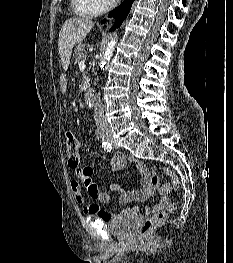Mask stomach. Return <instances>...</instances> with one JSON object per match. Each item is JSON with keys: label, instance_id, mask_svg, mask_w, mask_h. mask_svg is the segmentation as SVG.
Returning a JSON list of instances; mask_svg holds the SVG:
<instances>
[{"label": "stomach", "instance_id": "0dacf381", "mask_svg": "<svg viewBox=\"0 0 233 263\" xmlns=\"http://www.w3.org/2000/svg\"><path fill=\"white\" fill-rule=\"evenodd\" d=\"M56 82H60V91H68L69 88H71V83H69L68 80H66L65 77H56L55 78Z\"/></svg>", "mask_w": 233, "mask_h": 263}]
</instances>
